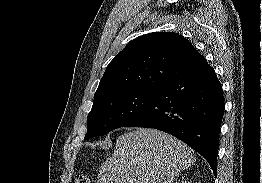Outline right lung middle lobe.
Segmentation results:
<instances>
[{
  "label": "right lung middle lobe",
  "instance_id": "1",
  "mask_svg": "<svg viewBox=\"0 0 262 183\" xmlns=\"http://www.w3.org/2000/svg\"><path fill=\"white\" fill-rule=\"evenodd\" d=\"M157 90L126 89L95 97L88 114L85 139L103 136L116 128L124 127L149 105Z\"/></svg>",
  "mask_w": 262,
  "mask_h": 183
}]
</instances>
